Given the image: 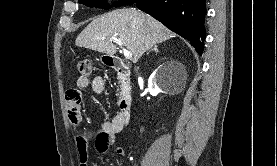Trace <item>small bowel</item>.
Here are the masks:
<instances>
[{
    "label": "small bowel",
    "mask_w": 277,
    "mask_h": 166,
    "mask_svg": "<svg viewBox=\"0 0 277 166\" xmlns=\"http://www.w3.org/2000/svg\"><path fill=\"white\" fill-rule=\"evenodd\" d=\"M89 85L94 93L102 94L106 89V83L102 76H95L91 81L87 77H80L77 80V88L66 92V105L70 122L73 125H79L82 122L80 104L82 101V90ZM124 123L120 115L117 114L113 119L105 122L98 132L86 130L80 133L76 138L77 151L79 155V166H89L88 146L90 140L94 137L96 149L99 153H107L109 148L116 142L118 134L123 130ZM115 155L123 157L125 151L122 147L115 148Z\"/></svg>",
    "instance_id": "c3829d8e"
}]
</instances>
